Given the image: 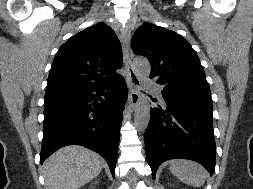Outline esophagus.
Segmentation results:
<instances>
[{"instance_id": "34e87169", "label": "esophagus", "mask_w": 253, "mask_h": 189, "mask_svg": "<svg viewBox=\"0 0 253 189\" xmlns=\"http://www.w3.org/2000/svg\"><path fill=\"white\" fill-rule=\"evenodd\" d=\"M130 31L128 28L121 29L120 39L122 43V49H123V57H124V63L126 70L128 72V103L129 108L131 110H134L139 102V92L138 87L140 84V80L133 69L132 65V55L130 51Z\"/></svg>"}]
</instances>
